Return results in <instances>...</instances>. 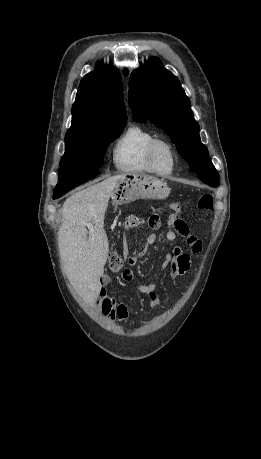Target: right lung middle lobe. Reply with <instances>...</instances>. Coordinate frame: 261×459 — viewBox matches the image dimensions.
<instances>
[{"mask_svg": "<svg viewBox=\"0 0 261 459\" xmlns=\"http://www.w3.org/2000/svg\"><path fill=\"white\" fill-rule=\"evenodd\" d=\"M125 124L95 127L65 139V154L60 161L54 199L98 174L107 147L120 135Z\"/></svg>", "mask_w": 261, "mask_h": 459, "instance_id": "obj_1", "label": "right lung middle lobe"}]
</instances>
